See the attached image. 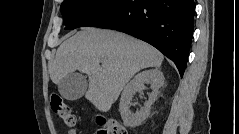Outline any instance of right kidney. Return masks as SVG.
Returning a JSON list of instances; mask_svg holds the SVG:
<instances>
[{
	"label": "right kidney",
	"instance_id": "ca27d5eb",
	"mask_svg": "<svg viewBox=\"0 0 239 134\" xmlns=\"http://www.w3.org/2000/svg\"><path fill=\"white\" fill-rule=\"evenodd\" d=\"M151 85L152 92L149 95V99L145 106L142 107L136 113H133L129 109L131 100L136 92H142L145 88V84ZM164 84V75L159 69H150L138 73L124 88L119 104V110L122 120L126 126L135 127L139 126L150 113L151 105L156 100L159 93V89Z\"/></svg>",
	"mask_w": 239,
	"mask_h": 134
}]
</instances>
